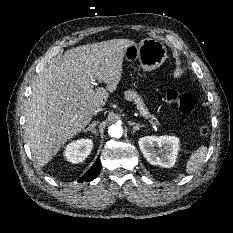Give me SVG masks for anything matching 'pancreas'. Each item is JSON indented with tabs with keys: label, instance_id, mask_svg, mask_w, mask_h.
I'll return each mask as SVG.
<instances>
[{
	"label": "pancreas",
	"instance_id": "1",
	"mask_svg": "<svg viewBox=\"0 0 233 233\" xmlns=\"http://www.w3.org/2000/svg\"><path fill=\"white\" fill-rule=\"evenodd\" d=\"M124 95H125L126 100L133 101L137 105V108L142 115H149V112L147 108L145 107L143 100L137 94V92L132 91V90H127L124 92Z\"/></svg>",
	"mask_w": 233,
	"mask_h": 233
}]
</instances>
